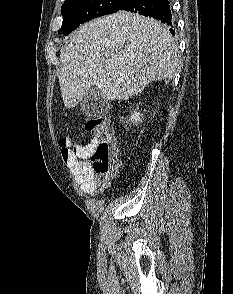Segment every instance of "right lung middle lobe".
Masks as SVG:
<instances>
[{
    "instance_id": "dd1d6c3e",
    "label": "right lung middle lobe",
    "mask_w": 233,
    "mask_h": 294,
    "mask_svg": "<svg viewBox=\"0 0 233 294\" xmlns=\"http://www.w3.org/2000/svg\"><path fill=\"white\" fill-rule=\"evenodd\" d=\"M126 0H65L59 34L68 35L84 22L117 12Z\"/></svg>"
}]
</instances>
